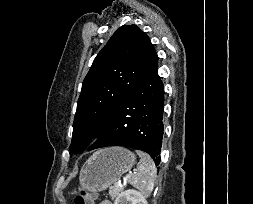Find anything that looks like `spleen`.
<instances>
[{
	"label": "spleen",
	"mask_w": 253,
	"mask_h": 204,
	"mask_svg": "<svg viewBox=\"0 0 253 204\" xmlns=\"http://www.w3.org/2000/svg\"><path fill=\"white\" fill-rule=\"evenodd\" d=\"M140 157L137 169L132 174L126 176V180L143 194L149 195L154 188V181L157 169L152 158L144 152L136 151Z\"/></svg>",
	"instance_id": "1"
}]
</instances>
